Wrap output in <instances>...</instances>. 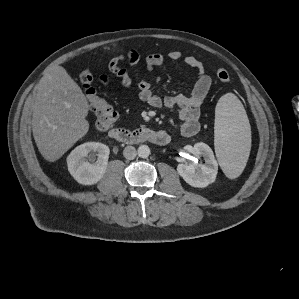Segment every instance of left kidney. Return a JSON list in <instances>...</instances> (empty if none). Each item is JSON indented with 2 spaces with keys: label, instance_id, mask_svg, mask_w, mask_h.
I'll use <instances>...</instances> for the list:
<instances>
[{
  "label": "left kidney",
  "instance_id": "obj_1",
  "mask_svg": "<svg viewBox=\"0 0 299 299\" xmlns=\"http://www.w3.org/2000/svg\"><path fill=\"white\" fill-rule=\"evenodd\" d=\"M193 152L203 156L205 164H178L179 175L192 187L204 188L215 181L218 172V163L212 149L205 143H196Z\"/></svg>",
  "mask_w": 299,
  "mask_h": 299
}]
</instances>
